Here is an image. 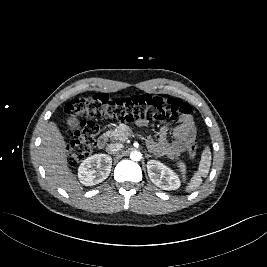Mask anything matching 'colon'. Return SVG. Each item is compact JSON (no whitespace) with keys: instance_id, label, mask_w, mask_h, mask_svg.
Wrapping results in <instances>:
<instances>
[{"instance_id":"colon-1","label":"colon","mask_w":267,"mask_h":267,"mask_svg":"<svg viewBox=\"0 0 267 267\" xmlns=\"http://www.w3.org/2000/svg\"><path fill=\"white\" fill-rule=\"evenodd\" d=\"M69 118L79 119L67 148V160L75 164L87 157L95 147L99 126L94 119L120 121L178 120L190 115L191 106L174 97L141 94L111 98L107 94L81 95L65 106ZM198 144L194 139L188 146V154L195 158Z\"/></svg>"}]
</instances>
